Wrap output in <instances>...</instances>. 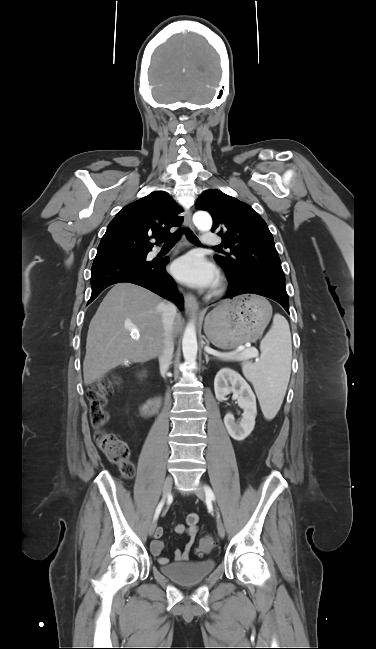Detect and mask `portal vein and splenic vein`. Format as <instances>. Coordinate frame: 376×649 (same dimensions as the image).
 <instances>
[{"mask_svg": "<svg viewBox=\"0 0 376 649\" xmlns=\"http://www.w3.org/2000/svg\"><path fill=\"white\" fill-rule=\"evenodd\" d=\"M129 329L131 330V333H133L134 335H136V334L138 333V332H137L136 330H134L131 326L129 327ZM206 350H207L210 354H212V355H216V351H214V350H210V349H206ZM239 350H240L239 348L236 349V351H239ZM242 350H246V349L243 347ZM256 356H257V352H256L255 350H247V353L244 354V355H239V354H237L236 352H233V353L225 354V355H223L221 358H223V359H230V360H248V359L254 358V357H256Z\"/></svg>", "mask_w": 376, "mask_h": 649, "instance_id": "obj_1", "label": "portal vein and splenic vein"}]
</instances>
